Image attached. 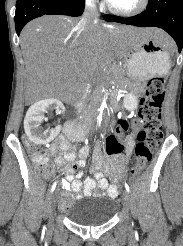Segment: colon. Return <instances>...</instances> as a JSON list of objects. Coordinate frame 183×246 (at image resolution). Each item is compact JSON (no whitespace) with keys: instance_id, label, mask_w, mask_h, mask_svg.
Returning a JSON list of instances; mask_svg holds the SVG:
<instances>
[{"instance_id":"colon-1","label":"colon","mask_w":183,"mask_h":246,"mask_svg":"<svg viewBox=\"0 0 183 246\" xmlns=\"http://www.w3.org/2000/svg\"><path fill=\"white\" fill-rule=\"evenodd\" d=\"M164 98V80L162 78L151 79L145 89L138 119L135 122L140 125V129L137 132V144L134 149L135 165L132 169V175H137L144 169L162 140L161 107ZM132 123V120L122 118L119 125H115L114 133H107L105 140L107 157H124L126 147H123L118 138L126 136L125 132ZM25 146L32 161L46 167V150L42 146L34 145L27 140H25Z\"/></svg>"}]
</instances>
